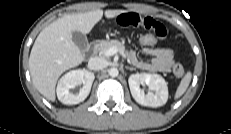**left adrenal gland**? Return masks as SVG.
I'll list each match as a JSON object with an SVG mask.
<instances>
[{
  "label": "left adrenal gland",
  "instance_id": "obj_1",
  "mask_svg": "<svg viewBox=\"0 0 231 134\" xmlns=\"http://www.w3.org/2000/svg\"><path fill=\"white\" fill-rule=\"evenodd\" d=\"M125 68L128 69V70H131V71H132V70H136L135 68L128 67V66H126Z\"/></svg>",
  "mask_w": 231,
  "mask_h": 134
}]
</instances>
